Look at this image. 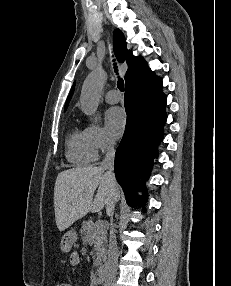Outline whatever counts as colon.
<instances>
[{
    "label": "colon",
    "instance_id": "obj_1",
    "mask_svg": "<svg viewBox=\"0 0 231 286\" xmlns=\"http://www.w3.org/2000/svg\"><path fill=\"white\" fill-rule=\"evenodd\" d=\"M55 286H71V284L65 281H59L55 284Z\"/></svg>",
    "mask_w": 231,
    "mask_h": 286
}]
</instances>
